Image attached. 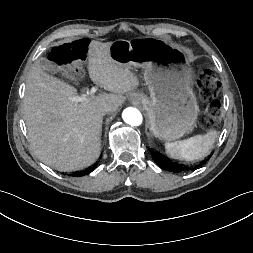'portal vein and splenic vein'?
I'll return each instance as SVG.
<instances>
[{"label":"portal vein and splenic vein","instance_id":"portal-vein-and-splenic-vein-1","mask_svg":"<svg viewBox=\"0 0 253 253\" xmlns=\"http://www.w3.org/2000/svg\"><path fill=\"white\" fill-rule=\"evenodd\" d=\"M97 91L96 87L91 88L90 90V95L94 94ZM76 102H86L89 100V95L87 94H82L81 96H78L77 98H75Z\"/></svg>","mask_w":253,"mask_h":253}]
</instances>
